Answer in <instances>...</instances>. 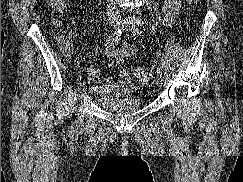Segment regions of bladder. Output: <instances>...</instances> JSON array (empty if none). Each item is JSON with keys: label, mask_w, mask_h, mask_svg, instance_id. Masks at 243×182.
I'll list each match as a JSON object with an SVG mask.
<instances>
[{"label": "bladder", "mask_w": 243, "mask_h": 182, "mask_svg": "<svg viewBox=\"0 0 243 182\" xmlns=\"http://www.w3.org/2000/svg\"><path fill=\"white\" fill-rule=\"evenodd\" d=\"M99 104L104 111L112 114L133 113L140 110L142 107V102L136 95H130L115 100L102 98Z\"/></svg>", "instance_id": "1"}]
</instances>
